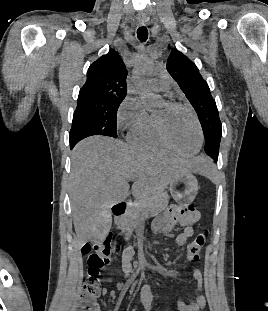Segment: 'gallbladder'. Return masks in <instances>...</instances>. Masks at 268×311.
<instances>
[{"mask_svg": "<svg viewBox=\"0 0 268 311\" xmlns=\"http://www.w3.org/2000/svg\"><path fill=\"white\" fill-rule=\"evenodd\" d=\"M108 209H102L100 215L96 219L94 232L92 233L93 246H100V239L103 238V234H109V227L111 224V216Z\"/></svg>", "mask_w": 268, "mask_h": 311, "instance_id": "1", "label": "gallbladder"}]
</instances>
